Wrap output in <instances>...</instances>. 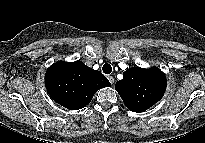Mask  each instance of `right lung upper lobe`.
Returning <instances> with one entry per match:
<instances>
[{"mask_svg":"<svg viewBox=\"0 0 205 143\" xmlns=\"http://www.w3.org/2000/svg\"><path fill=\"white\" fill-rule=\"evenodd\" d=\"M108 79L81 61H58L45 74L50 97L69 110H78L90 103L95 92L110 86Z\"/></svg>","mask_w":205,"mask_h":143,"instance_id":"obj_1","label":"right lung upper lobe"}]
</instances>
